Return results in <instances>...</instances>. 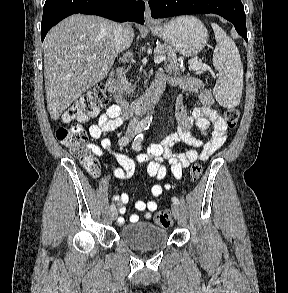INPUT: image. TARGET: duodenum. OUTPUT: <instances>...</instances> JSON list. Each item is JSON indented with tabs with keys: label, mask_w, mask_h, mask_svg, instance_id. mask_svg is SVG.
Masks as SVG:
<instances>
[{
	"label": "duodenum",
	"mask_w": 288,
	"mask_h": 293,
	"mask_svg": "<svg viewBox=\"0 0 288 293\" xmlns=\"http://www.w3.org/2000/svg\"><path fill=\"white\" fill-rule=\"evenodd\" d=\"M106 88L112 95L122 114L128 115L130 113H142L156 104L161 98L166 88V79L162 75H157L150 89L142 96L131 101L127 100L120 93L117 80L113 75H110L107 78Z\"/></svg>",
	"instance_id": "1"
}]
</instances>
